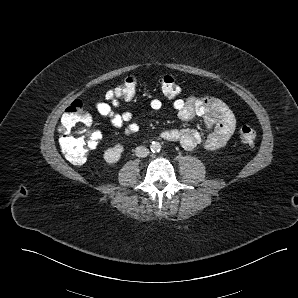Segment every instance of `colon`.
<instances>
[{
  "instance_id": "colon-1",
  "label": "colon",
  "mask_w": 298,
  "mask_h": 298,
  "mask_svg": "<svg viewBox=\"0 0 298 298\" xmlns=\"http://www.w3.org/2000/svg\"><path fill=\"white\" fill-rule=\"evenodd\" d=\"M159 84L162 94L169 99L177 97L181 91L177 81L170 75L161 76ZM137 85V77L130 75L107 94L110 98L128 100L135 95ZM59 133L60 148L75 165L85 163L89 152L95 149L101 140L100 134L92 129V118L80 100L73 101L64 111ZM239 140L243 146L252 147L256 140L255 130L249 125H243L239 131Z\"/></svg>"
}]
</instances>
